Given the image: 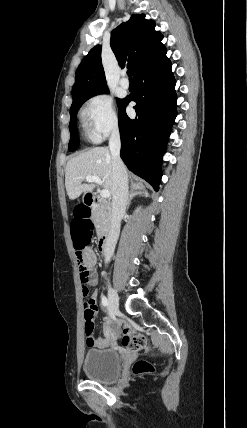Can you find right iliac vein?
Segmentation results:
<instances>
[{"instance_id":"obj_1","label":"right iliac vein","mask_w":247,"mask_h":428,"mask_svg":"<svg viewBox=\"0 0 247 428\" xmlns=\"http://www.w3.org/2000/svg\"><path fill=\"white\" fill-rule=\"evenodd\" d=\"M108 302L112 314H117L119 311V298L117 292L109 286L108 289Z\"/></svg>"}]
</instances>
